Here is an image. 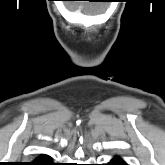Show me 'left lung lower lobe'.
<instances>
[{
  "instance_id": "0a47b994",
  "label": "left lung lower lobe",
  "mask_w": 165,
  "mask_h": 165,
  "mask_svg": "<svg viewBox=\"0 0 165 165\" xmlns=\"http://www.w3.org/2000/svg\"><path fill=\"white\" fill-rule=\"evenodd\" d=\"M107 165H126V163L123 160L119 159V158H114Z\"/></svg>"
}]
</instances>
